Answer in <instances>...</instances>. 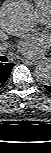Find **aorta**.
Masks as SVG:
<instances>
[{
  "label": "aorta",
  "instance_id": "obj_1",
  "mask_svg": "<svg viewBox=\"0 0 51 153\" xmlns=\"http://www.w3.org/2000/svg\"><path fill=\"white\" fill-rule=\"evenodd\" d=\"M3 29L10 35H23L33 31L36 25L35 10L26 0H16L1 12ZM34 76L43 85L51 83V65L44 62L36 67Z\"/></svg>",
  "mask_w": 51,
  "mask_h": 153
}]
</instances>
